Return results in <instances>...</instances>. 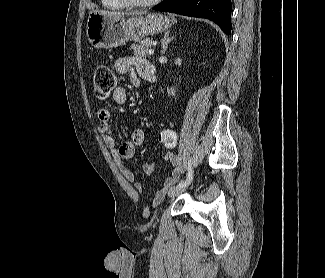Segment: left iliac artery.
Instances as JSON below:
<instances>
[{"label":"left iliac artery","instance_id":"1","mask_svg":"<svg viewBox=\"0 0 325 278\" xmlns=\"http://www.w3.org/2000/svg\"><path fill=\"white\" fill-rule=\"evenodd\" d=\"M192 178H193L192 167L189 165L186 180L181 181L177 186L185 187V186L189 185L191 183V181H192Z\"/></svg>","mask_w":325,"mask_h":278}]
</instances>
